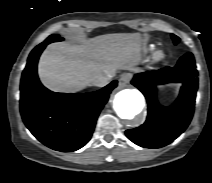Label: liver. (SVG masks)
<instances>
[{
    "label": "liver",
    "instance_id": "obj_1",
    "mask_svg": "<svg viewBox=\"0 0 212 183\" xmlns=\"http://www.w3.org/2000/svg\"><path fill=\"white\" fill-rule=\"evenodd\" d=\"M141 38L137 33H118L82 40L79 44L52 43L43 52L38 74L41 82L56 92H79L93 77L117 69L138 71Z\"/></svg>",
    "mask_w": 212,
    "mask_h": 183
}]
</instances>
